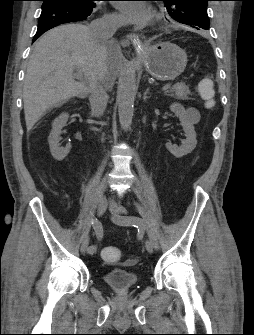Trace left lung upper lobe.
I'll list each match as a JSON object with an SVG mask.
<instances>
[{
  "label": "left lung upper lobe",
  "mask_w": 254,
  "mask_h": 335,
  "mask_svg": "<svg viewBox=\"0 0 254 335\" xmlns=\"http://www.w3.org/2000/svg\"><path fill=\"white\" fill-rule=\"evenodd\" d=\"M169 15L177 22L195 29H209L207 2L210 0H162Z\"/></svg>",
  "instance_id": "1"
}]
</instances>
